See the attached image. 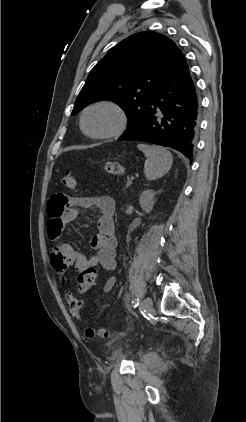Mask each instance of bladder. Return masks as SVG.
<instances>
[{
	"label": "bladder",
	"mask_w": 246,
	"mask_h": 422,
	"mask_svg": "<svg viewBox=\"0 0 246 422\" xmlns=\"http://www.w3.org/2000/svg\"><path fill=\"white\" fill-rule=\"evenodd\" d=\"M145 359L151 364H157L160 361L159 356H157L155 354H149L145 357Z\"/></svg>",
	"instance_id": "obj_1"
}]
</instances>
